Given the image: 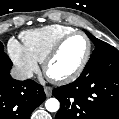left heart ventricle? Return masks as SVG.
Wrapping results in <instances>:
<instances>
[{
  "mask_svg": "<svg viewBox=\"0 0 119 119\" xmlns=\"http://www.w3.org/2000/svg\"><path fill=\"white\" fill-rule=\"evenodd\" d=\"M87 51V42L80 35L67 40L58 55L50 63L48 71L53 77H62L73 72L81 63Z\"/></svg>",
  "mask_w": 119,
  "mask_h": 119,
  "instance_id": "left-heart-ventricle-1",
  "label": "left heart ventricle"
}]
</instances>
